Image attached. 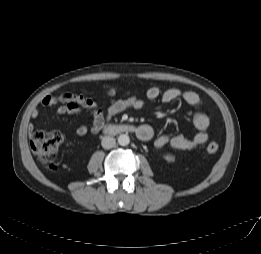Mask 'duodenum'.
I'll return each mask as SVG.
<instances>
[{
  "label": "duodenum",
  "instance_id": "obj_1",
  "mask_svg": "<svg viewBox=\"0 0 261 254\" xmlns=\"http://www.w3.org/2000/svg\"><path fill=\"white\" fill-rule=\"evenodd\" d=\"M103 131L107 134L131 133L135 131V127L130 124H109L104 126Z\"/></svg>",
  "mask_w": 261,
  "mask_h": 254
}]
</instances>
